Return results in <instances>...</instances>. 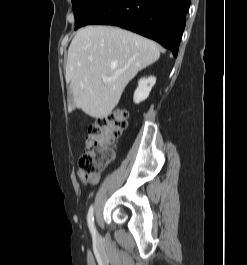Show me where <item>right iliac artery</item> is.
Instances as JSON below:
<instances>
[{"mask_svg": "<svg viewBox=\"0 0 247 265\" xmlns=\"http://www.w3.org/2000/svg\"><path fill=\"white\" fill-rule=\"evenodd\" d=\"M87 221H88L89 229H90L92 235L95 237L96 236V230L94 227L93 206H91L89 211H88Z\"/></svg>", "mask_w": 247, "mask_h": 265, "instance_id": "1", "label": "right iliac artery"}]
</instances>
